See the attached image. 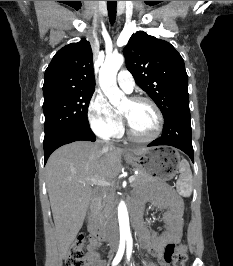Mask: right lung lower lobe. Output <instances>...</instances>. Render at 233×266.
I'll return each mask as SVG.
<instances>
[{
    "instance_id": "obj_1",
    "label": "right lung lower lobe",
    "mask_w": 233,
    "mask_h": 266,
    "mask_svg": "<svg viewBox=\"0 0 233 266\" xmlns=\"http://www.w3.org/2000/svg\"><path fill=\"white\" fill-rule=\"evenodd\" d=\"M86 140L95 141V134L90 127H75L65 129L49 138L44 139V165L50 154L58 147L74 141Z\"/></svg>"
}]
</instances>
